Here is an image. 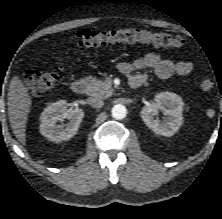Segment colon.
I'll return each instance as SVG.
<instances>
[{
	"label": "colon",
	"mask_w": 222,
	"mask_h": 219,
	"mask_svg": "<svg viewBox=\"0 0 222 219\" xmlns=\"http://www.w3.org/2000/svg\"><path fill=\"white\" fill-rule=\"evenodd\" d=\"M113 42H144L159 47L176 49L183 45L180 36L167 33H153L141 29H105L79 31L75 35L74 44L80 47H95ZM64 67L57 63L53 68L46 71L26 70L23 81L27 88L35 95H42L51 90L62 78ZM214 80L205 77L200 81V89L204 92L214 87Z\"/></svg>",
	"instance_id": "obj_1"
}]
</instances>
